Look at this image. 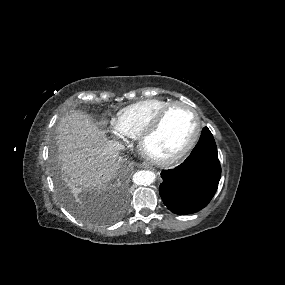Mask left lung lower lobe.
Masks as SVG:
<instances>
[{
  "label": "left lung lower lobe",
  "mask_w": 285,
  "mask_h": 285,
  "mask_svg": "<svg viewBox=\"0 0 285 285\" xmlns=\"http://www.w3.org/2000/svg\"><path fill=\"white\" fill-rule=\"evenodd\" d=\"M159 193L167 208L176 214L195 213L211 201L218 188L221 166L217 147L205 127L187 159L174 169L161 172Z\"/></svg>",
  "instance_id": "obj_1"
}]
</instances>
